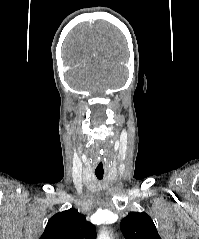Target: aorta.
<instances>
[{
    "label": "aorta",
    "instance_id": "obj_1",
    "mask_svg": "<svg viewBox=\"0 0 199 239\" xmlns=\"http://www.w3.org/2000/svg\"><path fill=\"white\" fill-rule=\"evenodd\" d=\"M97 239H110V236H109L108 232L105 229H103L100 231Z\"/></svg>",
    "mask_w": 199,
    "mask_h": 239
}]
</instances>
